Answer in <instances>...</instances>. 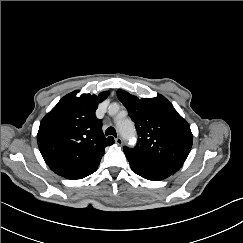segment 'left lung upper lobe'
I'll list each match as a JSON object with an SVG mask.
<instances>
[{
    "instance_id": "obj_1",
    "label": "left lung upper lobe",
    "mask_w": 243,
    "mask_h": 243,
    "mask_svg": "<svg viewBox=\"0 0 243 243\" xmlns=\"http://www.w3.org/2000/svg\"><path fill=\"white\" fill-rule=\"evenodd\" d=\"M118 99L127 108L138 134L134 148L124 151L183 165L190 153L193 135L189 124L162 95L139 99L119 89Z\"/></svg>"
}]
</instances>
